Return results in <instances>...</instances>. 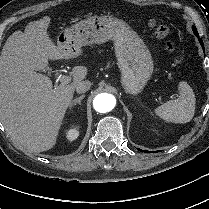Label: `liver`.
Here are the masks:
<instances>
[{
	"instance_id": "1",
	"label": "liver",
	"mask_w": 209,
	"mask_h": 209,
	"mask_svg": "<svg viewBox=\"0 0 209 209\" xmlns=\"http://www.w3.org/2000/svg\"><path fill=\"white\" fill-rule=\"evenodd\" d=\"M50 20L45 16L12 33L0 56V121L14 142L34 152L55 145L75 87L87 76L86 67L75 66L72 82L53 88L49 77L37 73L48 60L71 58L50 38Z\"/></svg>"
}]
</instances>
